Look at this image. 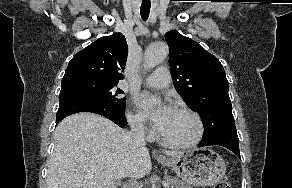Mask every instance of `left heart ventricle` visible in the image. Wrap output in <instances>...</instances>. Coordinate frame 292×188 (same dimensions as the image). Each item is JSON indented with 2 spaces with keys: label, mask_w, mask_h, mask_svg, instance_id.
<instances>
[{
  "label": "left heart ventricle",
  "mask_w": 292,
  "mask_h": 188,
  "mask_svg": "<svg viewBox=\"0 0 292 188\" xmlns=\"http://www.w3.org/2000/svg\"><path fill=\"white\" fill-rule=\"evenodd\" d=\"M158 131L169 141L186 142L195 136L197 125L189 114L171 109Z\"/></svg>",
  "instance_id": "left-heart-ventricle-1"
}]
</instances>
